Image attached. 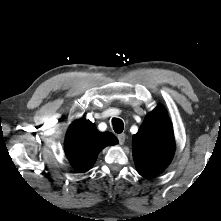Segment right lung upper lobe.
Wrapping results in <instances>:
<instances>
[{
    "instance_id": "right-lung-upper-lobe-1",
    "label": "right lung upper lobe",
    "mask_w": 221,
    "mask_h": 221,
    "mask_svg": "<svg viewBox=\"0 0 221 221\" xmlns=\"http://www.w3.org/2000/svg\"><path fill=\"white\" fill-rule=\"evenodd\" d=\"M118 139L110 132H99L89 120L73 122L65 138V154L78 172L88 171L98 153L106 146L115 145Z\"/></svg>"
}]
</instances>
